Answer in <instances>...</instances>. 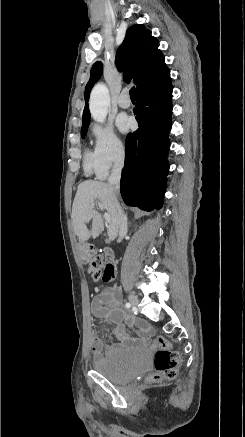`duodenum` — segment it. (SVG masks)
<instances>
[{
    "label": "duodenum",
    "mask_w": 245,
    "mask_h": 437,
    "mask_svg": "<svg viewBox=\"0 0 245 437\" xmlns=\"http://www.w3.org/2000/svg\"><path fill=\"white\" fill-rule=\"evenodd\" d=\"M104 252H105V255H106L107 257H109V258H111V257L113 256L112 250L109 249V248H106V249L104 250Z\"/></svg>",
    "instance_id": "obj_1"
}]
</instances>
